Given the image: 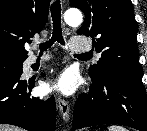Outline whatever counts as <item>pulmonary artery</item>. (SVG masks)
I'll use <instances>...</instances> for the list:
<instances>
[{
	"label": "pulmonary artery",
	"mask_w": 147,
	"mask_h": 131,
	"mask_svg": "<svg viewBox=\"0 0 147 131\" xmlns=\"http://www.w3.org/2000/svg\"><path fill=\"white\" fill-rule=\"evenodd\" d=\"M70 49H71V51L76 52V53H85V52H88V51L91 50V45L88 42H86L82 39L72 38L71 41H70ZM46 60H48L47 56H43L39 59L35 55H30L27 58L25 64H26V66L29 67V66L34 65L38 62L43 63Z\"/></svg>",
	"instance_id": "1"
}]
</instances>
